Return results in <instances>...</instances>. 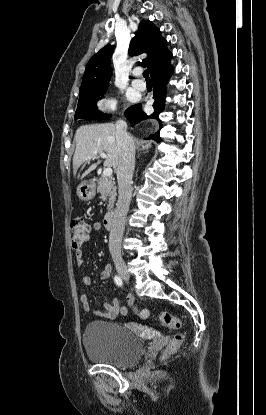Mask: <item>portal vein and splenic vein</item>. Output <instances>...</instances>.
<instances>
[{
	"label": "portal vein and splenic vein",
	"instance_id": "1",
	"mask_svg": "<svg viewBox=\"0 0 266 415\" xmlns=\"http://www.w3.org/2000/svg\"><path fill=\"white\" fill-rule=\"evenodd\" d=\"M100 156L104 159L107 158V155L104 152L100 153ZM87 159L90 160L91 157L89 156ZM112 172H113V170H112L111 167H106L103 170V176L110 177L112 175Z\"/></svg>",
	"mask_w": 266,
	"mask_h": 415
}]
</instances>
